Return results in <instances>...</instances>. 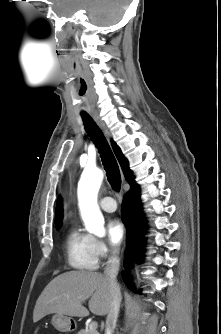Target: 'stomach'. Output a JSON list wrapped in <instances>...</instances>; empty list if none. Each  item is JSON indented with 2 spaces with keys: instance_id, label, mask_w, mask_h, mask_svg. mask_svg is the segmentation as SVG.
<instances>
[{
  "instance_id": "stomach-1",
  "label": "stomach",
  "mask_w": 221,
  "mask_h": 334,
  "mask_svg": "<svg viewBox=\"0 0 221 334\" xmlns=\"http://www.w3.org/2000/svg\"><path fill=\"white\" fill-rule=\"evenodd\" d=\"M52 325L61 332H69L75 328L71 318L57 313L52 317Z\"/></svg>"
}]
</instances>
